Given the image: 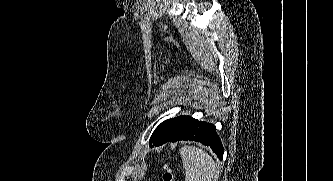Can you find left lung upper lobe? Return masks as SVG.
Listing matches in <instances>:
<instances>
[{"label":"left lung upper lobe","mask_w":333,"mask_h":181,"mask_svg":"<svg viewBox=\"0 0 333 181\" xmlns=\"http://www.w3.org/2000/svg\"><path fill=\"white\" fill-rule=\"evenodd\" d=\"M193 118L180 116L162 122L153 132L150 143L155 139L168 142L183 132L192 122Z\"/></svg>","instance_id":"1"}]
</instances>
